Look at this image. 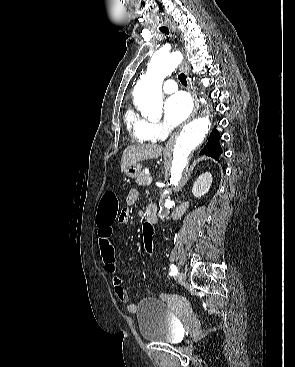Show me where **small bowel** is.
Returning a JSON list of instances; mask_svg holds the SVG:
<instances>
[{
  "instance_id": "c3829d8e",
  "label": "small bowel",
  "mask_w": 295,
  "mask_h": 367,
  "mask_svg": "<svg viewBox=\"0 0 295 367\" xmlns=\"http://www.w3.org/2000/svg\"><path fill=\"white\" fill-rule=\"evenodd\" d=\"M137 192L131 190L127 196V202L133 203L136 200ZM128 208H121L118 213L117 222L120 226H127L128 224ZM98 225V243L100 247V255L103 261L104 270L114 275L112 280L113 289L116 297L122 303H127V310L130 313H135L137 311V305L134 303H129V295L124 288L123 280L116 275L117 273V264L114 255V247L111 242L112 235L114 233V221L97 222Z\"/></svg>"
}]
</instances>
